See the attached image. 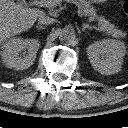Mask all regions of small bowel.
<instances>
[{"label":"small bowel","mask_w":128,"mask_h":128,"mask_svg":"<svg viewBox=\"0 0 128 128\" xmlns=\"http://www.w3.org/2000/svg\"><path fill=\"white\" fill-rule=\"evenodd\" d=\"M92 2H94V3H103V2H105L106 0H91Z\"/></svg>","instance_id":"1"}]
</instances>
